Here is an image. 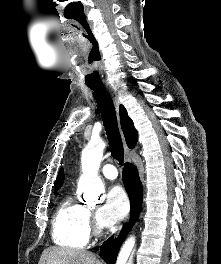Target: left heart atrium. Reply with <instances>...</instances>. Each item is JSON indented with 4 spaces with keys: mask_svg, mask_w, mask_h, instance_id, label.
<instances>
[{
    "mask_svg": "<svg viewBox=\"0 0 221 264\" xmlns=\"http://www.w3.org/2000/svg\"><path fill=\"white\" fill-rule=\"evenodd\" d=\"M129 211V202L125 192L118 186L111 188L103 205L98 210V220L104 226L121 221Z\"/></svg>",
    "mask_w": 221,
    "mask_h": 264,
    "instance_id": "obj_1",
    "label": "left heart atrium"
}]
</instances>
